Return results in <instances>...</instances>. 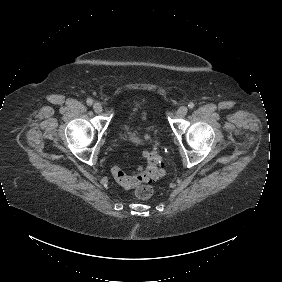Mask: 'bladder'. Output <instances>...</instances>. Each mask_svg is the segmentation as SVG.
<instances>
[{
	"label": "bladder",
	"mask_w": 282,
	"mask_h": 282,
	"mask_svg": "<svg viewBox=\"0 0 282 282\" xmlns=\"http://www.w3.org/2000/svg\"><path fill=\"white\" fill-rule=\"evenodd\" d=\"M136 112V110H133L122 127L123 139L132 145H139L142 143V137L134 127Z\"/></svg>",
	"instance_id": "obj_1"
}]
</instances>
